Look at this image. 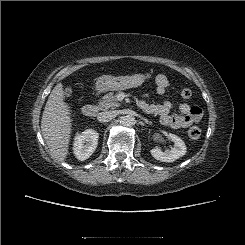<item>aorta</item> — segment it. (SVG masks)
Returning a JSON list of instances; mask_svg holds the SVG:
<instances>
[{
  "label": "aorta",
  "mask_w": 245,
  "mask_h": 245,
  "mask_svg": "<svg viewBox=\"0 0 245 245\" xmlns=\"http://www.w3.org/2000/svg\"><path fill=\"white\" fill-rule=\"evenodd\" d=\"M120 123L123 126L130 127V126H132L135 123V118L133 116H131V115L124 116L120 120Z\"/></svg>",
  "instance_id": "1"
}]
</instances>
